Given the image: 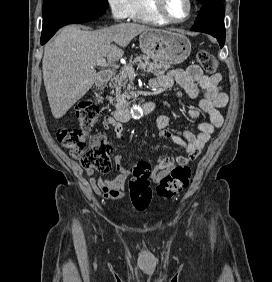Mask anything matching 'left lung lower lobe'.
<instances>
[{"instance_id":"0a47b994","label":"left lung lower lobe","mask_w":272,"mask_h":282,"mask_svg":"<svg viewBox=\"0 0 272 282\" xmlns=\"http://www.w3.org/2000/svg\"><path fill=\"white\" fill-rule=\"evenodd\" d=\"M191 30L211 34L217 38L222 48L225 43L224 6L222 1L203 3L200 14Z\"/></svg>"}]
</instances>
